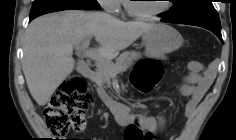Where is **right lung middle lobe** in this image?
Segmentation results:
<instances>
[{"label": "right lung middle lobe", "mask_w": 236, "mask_h": 140, "mask_svg": "<svg viewBox=\"0 0 236 140\" xmlns=\"http://www.w3.org/2000/svg\"><path fill=\"white\" fill-rule=\"evenodd\" d=\"M99 8L100 5L96 0H35L30 17L68 9L96 10Z\"/></svg>", "instance_id": "1"}]
</instances>
